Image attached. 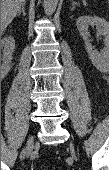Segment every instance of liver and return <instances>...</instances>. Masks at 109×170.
I'll list each match as a JSON object with an SVG mask.
<instances>
[{
	"instance_id": "liver-1",
	"label": "liver",
	"mask_w": 109,
	"mask_h": 170,
	"mask_svg": "<svg viewBox=\"0 0 109 170\" xmlns=\"http://www.w3.org/2000/svg\"><path fill=\"white\" fill-rule=\"evenodd\" d=\"M24 0H1V29L4 30L21 9Z\"/></svg>"
}]
</instances>
